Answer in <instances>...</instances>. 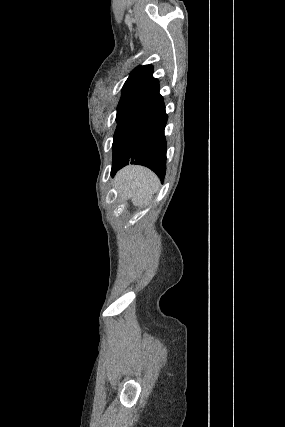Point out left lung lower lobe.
<instances>
[{
  "instance_id": "0a47b994",
  "label": "left lung lower lobe",
  "mask_w": 285,
  "mask_h": 427,
  "mask_svg": "<svg viewBox=\"0 0 285 427\" xmlns=\"http://www.w3.org/2000/svg\"><path fill=\"white\" fill-rule=\"evenodd\" d=\"M167 118L163 97L158 92L118 139L113 154L112 176L131 163L146 166L161 180L164 179L166 172L164 128Z\"/></svg>"
}]
</instances>
